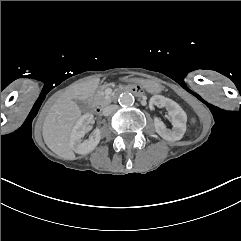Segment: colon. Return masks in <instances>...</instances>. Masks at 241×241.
<instances>
[{"label": "colon", "mask_w": 241, "mask_h": 241, "mask_svg": "<svg viewBox=\"0 0 241 241\" xmlns=\"http://www.w3.org/2000/svg\"><path fill=\"white\" fill-rule=\"evenodd\" d=\"M191 122H192V123H196V122H197L196 117H191Z\"/></svg>", "instance_id": "1"}]
</instances>
